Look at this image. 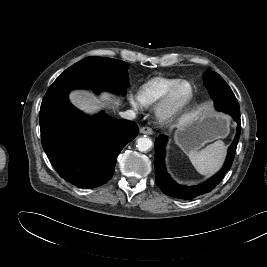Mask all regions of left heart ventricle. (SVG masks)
Masks as SVG:
<instances>
[{"label":"left heart ventricle","instance_id":"obj_1","mask_svg":"<svg viewBox=\"0 0 267 267\" xmlns=\"http://www.w3.org/2000/svg\"><path fill=\"white\" fill-rule=\"evenodd\" d=\"M189 89L187 86H182L178 89L174 97V104L181 103L188 95Z\"/></svg>","mask_w":267,"mask_h":267}]
</instances>
